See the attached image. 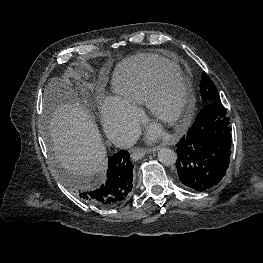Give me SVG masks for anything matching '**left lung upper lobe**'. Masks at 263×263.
<instances>
[{"label": "left lung upper lobe", "instance_id": "5c2ea615", "mask_svg": "<svg viewBox=\"0 0 263 263\" xmlns=\"http://www.w3.org/2000/svg\"><path fill=\"white\" fill-rule=\"evenodd\" d=\"M200 93L202 99L206 101V104L213 102L221 103L220 96L218 95V91L215 88V85L205 72L202 75Z\"/></svg>", "mask_w": 263, "mask_h": 263}]
</instances>
